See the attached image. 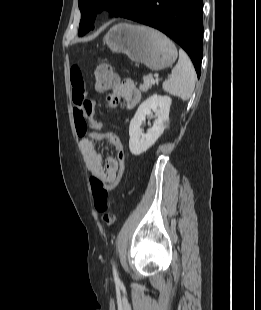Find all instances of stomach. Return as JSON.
<instances>
[{"label": "stomach", "instance_id": "0dacf381", "mask_svg": "<svg viewBox=\"0 0 261 310\" xmlns=\"http://www.w3.org/2000/svg\"><path fill=\"white\" fill-rule=\"evenodd\" d=\"M104 41L113 52L124 53L154 71L170 67L177 59L175 45L162 33L143 25L117 24Z\"/></svg>", "mask_w": 261, "mask_h": 310}]
</instances>
